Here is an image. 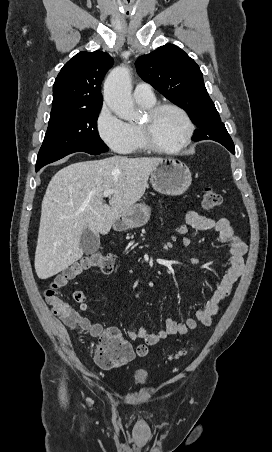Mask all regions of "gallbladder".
<instances>
[{"instance_id":"obj_1","label":"gallbladder","mask_w":272,"mask_h":452,"mask_svg":"<svg viewBox=\"0 0 272 452\" xmlns=\"http://www.w3.org/2000/svg\"><path fill=\"white\" fill-rule=\"evenodd\" d=\"M80 247L85 254H93L100 247L99 237L88 227L83 229L80 238Z\"/></svg>"}]
</instances>
